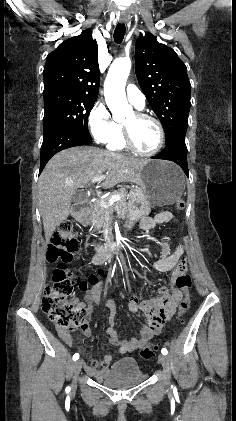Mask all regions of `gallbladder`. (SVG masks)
Listing matches in <instances>:
<instances>
[{
  "mask_svg": "<svg viewBox=\"0 0 236 421\" xmlns=\"http://www.w3.org/2000/svg\"><path fill=\"white\" fill-rule=\"evenodd\" d=\"M71 200H72V202H74V200H78V196H76V194H74V196H72Z\"/></svg>",
  "mask_w": 236,
  "mask_h": 421,
  "instance_id": "gallbladder-1",
  "label": "gallbladder"
}]
</instances>
